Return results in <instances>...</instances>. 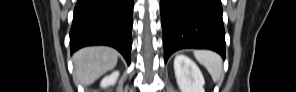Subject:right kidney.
<instances>
[{"label":"right kidney","instance_id":"obj_1","mask_svg":"<svg viewBox=\"0 0 296 92\" xmlns=\"http://www.w3.org/2000/svg\"><path fill=\"white\" fill-rule=\"evenodd\" d=\"M119 77V71H114L110 75L105 76L100 83L102 88L113 86Z\"/></svg>","mask_w":296,"mask_h":92}]
</instances>
